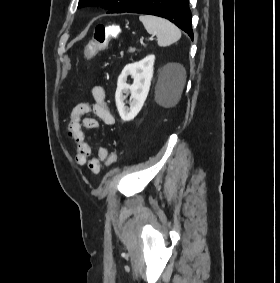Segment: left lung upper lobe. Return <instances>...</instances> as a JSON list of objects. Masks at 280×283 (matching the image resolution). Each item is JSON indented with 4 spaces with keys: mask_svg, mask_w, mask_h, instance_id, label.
I'll return each instance as SVG.
<instances>
[{
    "mask_svg": "<svg viewBox=\"0 0 280 283\" xmlns=\"http://www.w3.org/2000/svg\"><path fill=\"white\" fill-rule=\"evenodd\" d=\"M141 0H79L78 8L84 6H101L107 13H123L136 5Z\"/></svg>",
    "mask_w": 280,
    "mask_h": 283,
    "instance_id": "left-lung-upper-lobe-1",
    "label": "left lung upper lobe"
}]
</instances>
